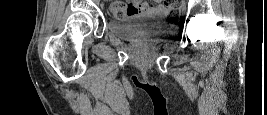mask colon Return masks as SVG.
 Here are the masks:
<instances>
[{
	"label": "colon",
	"instance_id": "1",
	"mask_svg": "<svg viewBox=\"0 0 267 115\" xmlns=\"http://www.w3.org/2000/svg\"><path fill=\"white\" fill-rule=\"evenodd\" d=\"M184 4V0H169L165 2L168 8L169 17L175 18L178 16L180 9ZM132 13L131 6L123 3H115L108 10L109 16L119 18L125 14Z\"/></svg>",
	"mask_w": 267,
	"mask_h": 115
}]
</instances>
